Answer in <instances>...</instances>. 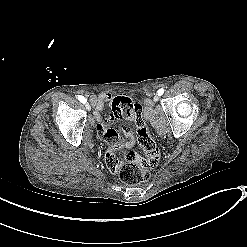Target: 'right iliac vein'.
Listing matches in <instances>:
<instances>
[{
	"mask_svg": "<svg viewBox=\"0 0 247 247\" xmlns=\"http://www.w3.org/2000/svg\"><path fill=\"white\" fill-rule=\"evenodd\" d=\"M85 107H86V109L88 110V111H90L91 110V105L87 102V103H85Z\"/></svg>",
	"mask_w": 247,
	"mask_h": 247,
	"instance_id": "obj_1",
	"label": "right iliac vein"
}]
</instances>
